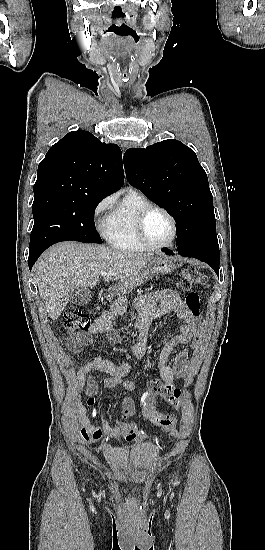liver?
Here are the masks:
<instances>
[{
	"instance_id": "6515ba94",
	"label": "liver",
	"mask_w": 265,
	"mask_h": 550,
	"mask_svg": "<svg viewBox=\"0 0 265 550\" xmlns=\"http://www.w3.org/2000/svg\"><path fill=\"white\" fill-rule=\"evenodd\" d=\"M151 254H129L99 244L62 242L43 253L35 265L36 284L49 317L55 321L74 288H92L103 280L122 281L126 289L151 259Z\"/></svg>"
}]
</instances>
